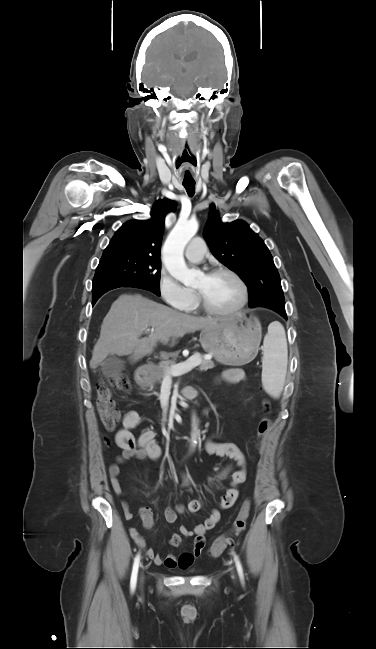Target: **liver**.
I'll return each instance as SVG.
<instances>
[{
    "instance_id": "liver-1",
    "label": "liver",
    "mask_w": 376,
    "mask_h": 649,
    "mask_svg": "<svg viewBox=\"0 0 376 649\" xmlns=\"http://www.w3.org/2000/svg\"><path fill=\"white\" fill-rule=\"evenodd\" d=\"M219 320L186 315L139 294L121 295L103 320L90 368L103 365L104 359L110 354L131 355L133 362L138 361L151 353L158 342L166 344L170 338L183 337ZM150 327L153 329L151 334L141 339Z\"/></svg>"
}]
</instances>
